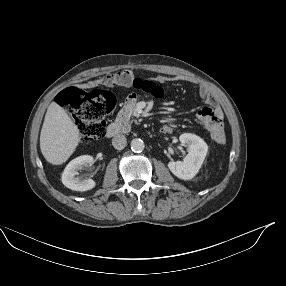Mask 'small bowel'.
<instances>
[{
	"label": "small bowel",
	"mask_w": 286,
	"mask_h": 286,
	"mask_svg": "<svg viewBox=\"0 0 286 286\" xmlns=\"http://www.w3.org/2000/svg\"><path fill=\"white\" fill-rule=\"evenodd\" d=\"M159 82H163V79H158ZM105 84L110 85H119V86H138L140 85L138 80L134 78V75L130 71H120L113 74L111 77L106 78L104 80ZM199 96L206 102L208 106L203 108L199 114V119L204 123L205 128L213 122L220 121L224 124V116L222 110L215 105V98L212 95L211 91L205 87L200 86L198 89ZM137 96L134 93H129L126 96V100L123 104V110L119 114V119L122 122H128L133 115V109L136 105ZM162 131L164 133H170L172 131V127L170 125H164L162 127Z\"/></svg>",
	"instance_id": "c3829d8e"
}]
</instances>
